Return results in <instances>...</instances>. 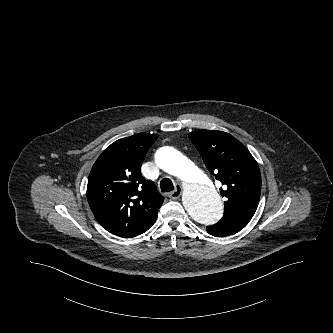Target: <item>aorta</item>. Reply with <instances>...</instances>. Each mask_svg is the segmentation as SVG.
I'll list each match as a JSON object with an SVG mask.
<instances>
[{"label": "aorta", "mask_w": 333, "mask_h": 333, "mask_svg": "<svg viewBox=\"0 0 333 333\" xmlns=\"http://www.w3.org/2000/svg\"><path fill=\"white\" fill-rule=\"evenodd\" d=\"M155 162L163 171L181 178L182 204L195 221L212 225L222 217V201L216 188L190 160L172 147H162Z\"/></svg>", "instance_id": "762f6f07"}]
</instances>
